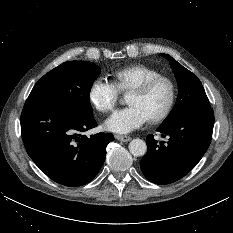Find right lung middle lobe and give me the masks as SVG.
Listing matches in <instances>:
<instances>
[{
    "instance_id": "right-lung-middle-lobe-1",
    "label": "right lung middle lobe",
    "mask_w": 233,
    "mask_h": 233,
    "mask_svg": "<svg viewBox=\"0 0 233 233\" xmlns=\"http://www.w3.org/2000/svg\"><path fill=\"white\" fill-rule=\"evenodd\" d=\"M100 70L87 61L64 62L35 84L27 101L65 105L85 118H93L89 95Z\"/></svg>"
}]
</instances>
